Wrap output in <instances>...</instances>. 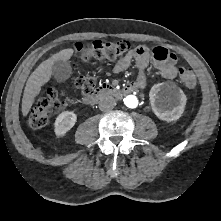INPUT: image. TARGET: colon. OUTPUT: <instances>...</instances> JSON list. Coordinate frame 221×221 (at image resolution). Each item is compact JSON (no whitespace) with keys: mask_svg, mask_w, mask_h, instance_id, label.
Here are the masks:
<instances>
[{"mask_svg":"<svg viewBox=\"0 0 221 221\" xmlns=\"http://www.w3.org/2000/svg\"><path fill=\"white\" fill-rule=\"evenodd\" d=\"M129 50L130 43L125 40L117 42L94 41L89 45H76L78 57L83 61L121 59L126 56ZM179 79L185 87L190 89L194 88L197 83L194 73L188 68L179 69ZM76 85L82 92L89 94L95 87V78L91 75L80 76L76 80ZM65 104L66 99L62 93L54 90L41 92L29 114L30 126L35 129L44 127L48 123L51 113Z\"/></svg>","mask_w":221,"mask_h":221,"instance_id":"1","label":"colon"}]
</instances>
